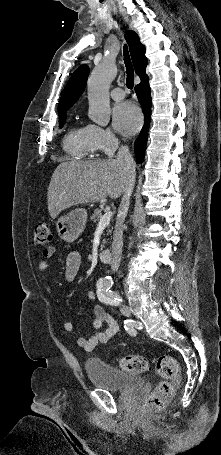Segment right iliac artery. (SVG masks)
Instances as JSON below:
<instances>
[{"mask_svg": "<svg viewBox=\"0 0 221 455\" xmlns=\"http://www.w3.org/2000/svg\"><path fill=\"white\" fill-rule=\"evenodd\" d=\"M100 286H106V285H100ZM126 323V322H125ZM125 333L129 334V337H134V334L136 333V330L133 325H129L128 323L125 325Z\"/></svg>", "mask_w": 221, "mask_h": 455, "instance_id": "obj_1", "label": "right iliac artery"}]
</instances>
